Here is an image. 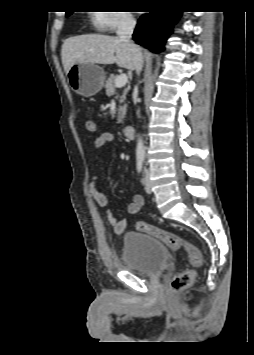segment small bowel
<instances>
[{
    "label": "small bowel",
    "mask_w": 254,
    "mask_h": 355,
    "mask_svg": "<svg viewBox=\"0 0 254 355\" xmlns=\"http://www.w3.org/2000/svg\"><path fill=\"white\" fill-rule=\"evenodd\" d=\"M115 139V136L112 133H102L99 136L96 137L94 140L93 146L96 150H101L103 149L107 144L113 142ZM97 177L93 176L91 183L89 185V191L91 196L94 198V200L97 202V204L102 207L106 208V216L107 219L114 230L115 233L121 234L124 232L126 226H127V220L125 218H116L112 211L107 208L108 206V199L107 197L99 190L97 184H96ZM144 198L139 195H133L132 200L127 206V212L128 214L134 215L137 214L142 207L144 206Z\"/></svg>",
    "instance_id": "small-bowel-1"
}]
</instances>
